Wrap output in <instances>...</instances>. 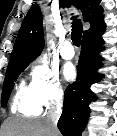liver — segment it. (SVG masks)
Masks as SVG:
<instances>
[{"mask_svg":"<svg viewBox=\"0 0 117 136\" xmlns=\"http://www.w3.org/2000/svg\"><path fill=\"white\" fill-rule=\"evenodd\" d=\"M1 136H50L46 121L10 118L2 125ZM55 136H59L56 131Z\"/></svg>","mask_w":117,"mask_h":136,"instance_id":"1","label":"liver"}]
</instances>
